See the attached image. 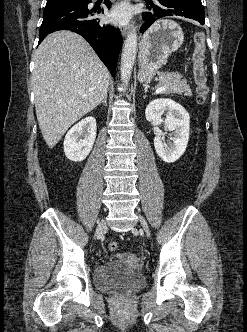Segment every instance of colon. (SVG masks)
<instances>
[{"instance_id": "5ec220e1", "label": "colon", "mask_w": 247, "mask_h": 332, "mask_svg": "<svg viewBox=\"0 0 247 332\" xmlns=\"http://www.w3.org/2000/svg\"><path fill=\"white\" fill-rule=\"evenodd\" d=\"M194 51L192 54V62H193V79L195 83L196 89V100L199 104H204L207 99V95L209 92L207 86V78L204 67L205 60V51H206V38L205 34L201 31H197L194 33ZM108 248L110 251H117L119 245L117 242L112 241L108 244Z\"/></svg>"}]
</instances>
